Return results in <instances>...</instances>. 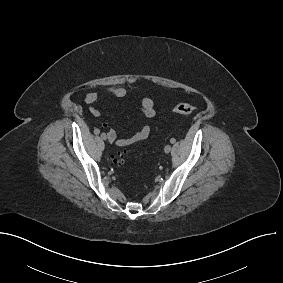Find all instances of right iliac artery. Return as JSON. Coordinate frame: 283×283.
<instances>
[{
	"label": "right iliac artery",
	"instance_id": "right-iliac-artery-1",
	"mask_svg": "<svg viewBox=\"0 0 283 283\" xmlns=\"http://www.w3.org/2000/svg\"><path fill=\"white\" fill-rule=\"evenodd\" d=\"M100 130L99 129H95V134H99Z\"/></svg>",
	"mask_w": 283,
	"mask_h": 283
}]
</instances>
